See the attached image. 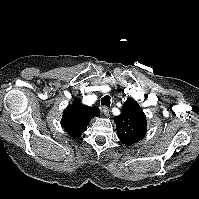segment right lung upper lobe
<instances>
[{"label":"right lung upper lobe","instance_id":"cb5924a9","mask_svg":"<svg viewBox=\"0 0 199 199\" xmlns=\"http://www.w3.org/2000/svg\"><path fill=\"white\" fill-rule=\"evenodd\" d=\"M99 113L98 107L83 105L79 99H75L73 104L64 110L61 125L67 133L77 138L86 131L90 119L99 116Z\"/></svg>","mask_w":199,"mask_h":199}]
</instances>
